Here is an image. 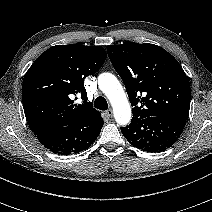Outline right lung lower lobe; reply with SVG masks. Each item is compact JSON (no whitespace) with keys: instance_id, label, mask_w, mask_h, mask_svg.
Listing matches in <instances>:
<instances>
[{"instance_id":"obj_1","label":"right lung lower lobe","mask_w":212,"mask_h":212,"mask_svg":"<svg viewBox=\"0 0 212 212\" xmlns=\"http://www.w3.org/2000/svg\"><path fill=\"white\" fill-rule=\"evenodd\" d=\"M102 126L103 119L92 124L76 122L64 127L44 129L36 133V136L51 152L70 155L89 148L97 139Z\"/></svg>"}]
</instances>
